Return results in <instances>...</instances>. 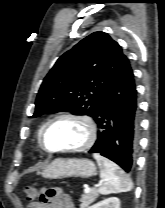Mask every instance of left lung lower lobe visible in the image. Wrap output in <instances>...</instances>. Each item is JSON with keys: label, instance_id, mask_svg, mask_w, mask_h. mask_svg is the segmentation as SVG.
<instances>
[{"label": "left lung lower lobe", "instance_id": "left-lung-lower-lobe-1", "mask_svg": "<svg viewBox=\"0 0 165 208\" xmlns=\"http://www.w3.org/2000/svg\"><path fill=\"white\" fill-rule=\"evenodd\" d=\"M94 119L99 130L89 153H99L131 172L138 144L139 111L128 59L106 89Z\"/></svg>", "mask_w": 165, "mask_h": 208}]
</instances>
